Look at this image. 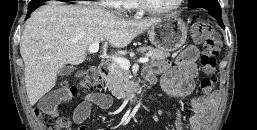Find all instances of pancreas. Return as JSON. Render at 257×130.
Returning <instances> with one entry per match:
<instances>
[{
  "instance_id": "cf45deb5",
  "label": "pancreas",
  "mask_w": 257,
  "mask_h": 130,
  "mask_svg": "<svg viewBox=\"0 0 257 130\" xmlns=\"http://www.w3.org/2000/svg\"><path fill=\"white\" fill-rule=\"evenodd\" d=\"M137 52L141 54L148 52L149 57L151 58V63L163 61L170 55L169 52L165 50L150 46L140 47L137 49ZM131 79L132 76L130 71L123 69L119 64L114 62L111 65V72L105 78V84L113 96L118 99H125L135 88V84Z\"/></svg>"
}]
</instances>
